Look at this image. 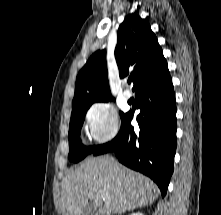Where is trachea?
<instances>
[{"label":"trachea","mask_w":221,"mask_h":215,"mask_svg":"<svg viewBox=\"0 0 221 215\" xmlns=\"http://www.w3.org/2000/svg\"><path fill=\"white\" fill-rule=\"evenodd\" d=\"M128 83L130 84V83H131V80H128Z\"/></svg>","instance_id":"1"}]
</instances>
